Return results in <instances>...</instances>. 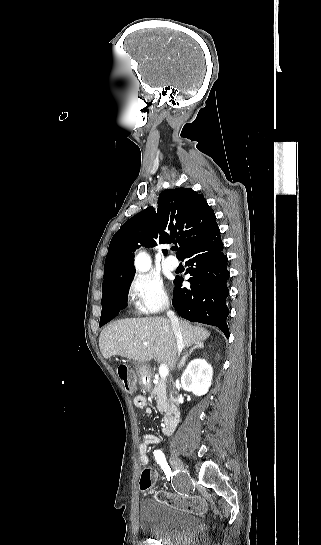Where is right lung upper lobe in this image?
Returning a JSON list of instances; mask_svg holds the SVG:
<instances>
[{
	"label": "right lung upper lobe",
	"instance_id": "1",
	"mask_svg": "<svg viewBox=\"0 0 321 545\" xmlns=\"http://www.w3.org/2000/svg\"><path fill=\"white\" fill-rule=\"evenodd\" d=\"M217 225L213 209L203 195L191 188H175L160 193L157 213L152 207L126 221L113 236L105 260L102 290L117 287L135 273L134 253L139 245L154 246L179 242L177 257ZM166 255L167 251L163 250Z\"/></svg>",
	"mask_w": 321,
	"mask_h": 545
}]
</instances>
